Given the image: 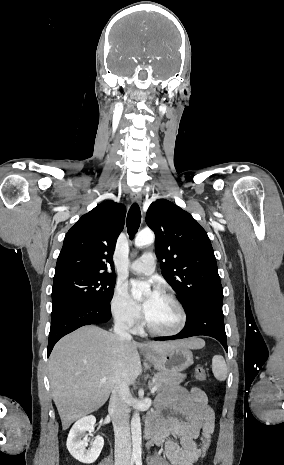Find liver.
Here are the masks:
<instances>
[{
	"mask_svg": "<svg viewBox=\"0 0 284 465\" xmlns=\"http://www.w3.org/2000/svg\"><path fill=\"white\" fill-rule=\"evenodd\" d=\"M175 343L188 349H203L205 341L190 337L171 343L126 341L99 327H82L56 343L49 359L53 401L64 431L71 423L100 409L116 385H133L142 373L138 347L165 353ZM145 369H150L144 363ZM106 377V383L100 379Z\"/></svg>",
	"mask_w": 284,
	"mask_h": 465,
	"instance_id": "1",
	"label": "liver"
}]
</instances>
